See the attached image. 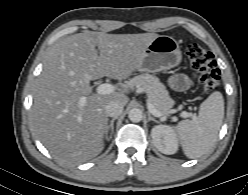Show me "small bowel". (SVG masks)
<instances>
[{
  "mask_svg": "<svg viewBox=\"0 0 248 195\" xmlns=\"http://www.w3.org/2000/svg\"><path fill=\"white\" fill-rule=\"evenodd\" d=\"M172 84L176 89H186L190 84V78L183 74L173 76Z\"/></svg>",
  "mask_w": 248,
  "mask_h": 195,
  "instance_id": "c3829d8e",
  "label": "small bowel"
}]
</instances>
